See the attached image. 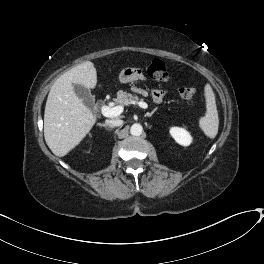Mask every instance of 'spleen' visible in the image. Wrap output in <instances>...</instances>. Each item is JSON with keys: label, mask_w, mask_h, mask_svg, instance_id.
Wrapping results in <instances>:
<instances>
[{"label": "spleen", "mask_w": 264, "mask_h": 264, "mask_svg": "<svg viewBox=\"0 0 264 264\" xmlns=\"http://www.w3.org/2000/svg\"><path fill=\"white\" fill-rule=\"evenodd\" d=\"M204 95L206 99V113L200 118L199 125L208 137L215 138L218 133L219 119L215 95L209 84H206L204 87Z\"/></svg>", "instance_id": "obj_1"}]
</instances>
